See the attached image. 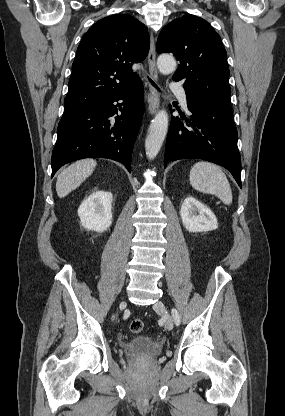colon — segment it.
<instances>
[{
	"mask_svg": "<svg viewBox=\"0 0 285 416\" xmlns=\"http://www.w3.org/2000/svg\"><path fill=\"white\" fill-rule=\"evenodd\" d=\"M144 328V323L140 319H134L130 323V330L133 333H140Z\"/></svg>",
	"mask_w": 285,
	"mask_h": 416,
	"instance_id": "1",
	"label": "colon"
}]
</instances>
